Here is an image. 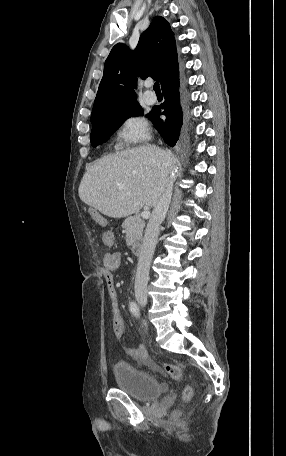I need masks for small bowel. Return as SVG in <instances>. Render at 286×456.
<instances>
[{
  "mask_svg": "<svg viewBox=\"0 0 286 456\" xmlns=\"http://www.w3.org/2000/svg\"><path fill=\"white\" fill-rule=\"evenodd\" d=\"M103 241L106 245H112L114 242L113 233L110 231L105 232L103 234ZM122 260L123 254L121 252L107 253L103 257L101 267V275L106 283L108 294L111 299L112 330L117 338H121L123 335L124 323L117 303V292L113 272L121 266ZM139 349L145 350V347L138 345L134 348H127L126 352L129 356L135 359L134 353Z\"/></svg>",
  "mask_w": 286,
  "mask_h": 456,
  "instance_id": "small-bowel-1",
  "label": "small bowel"
}]
</instances>
